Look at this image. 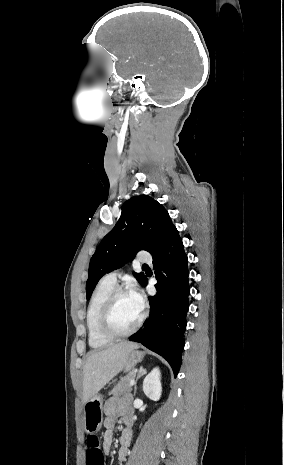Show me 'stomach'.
<instances>
[{
    "mask_svg": "<svg viewBox=\"0 0 284 465\" xmlns=\"http://www.w3.org/2000/svg\"><path fill=\"white\" fill-rule=\"evenodd\" d=\"M145 353L143 351H130L127 361L124 365L125 371H132L137 363H141ZM84 431L88 435L98 433L103 423V397L94 395L90 401H87L83 409Z\"/></svg>",
    "mask_w": 284,
    "mask_h": 465,
    "instance_id": "0dacf381",
    "label": "stomach"
}]
</instances>
